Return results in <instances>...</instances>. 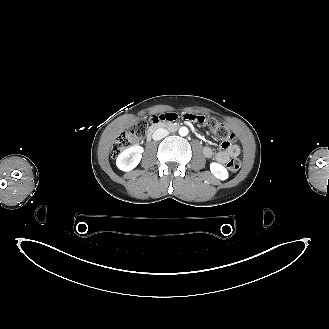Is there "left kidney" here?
Masks as SVG:
<instances>
[{
    "mask_svg": "<svg viewBox=\"0 0 329 329\" xmlns=\"http://www.w3.org/2000/svg\"><path fill=\"white\" fill-rule=\"evenodd\" d=\"M210 171L219 180H226L228 178L227 169L220 163L212 162L210 164Z\"/></svg>",
    "mask_w": 329,
    "mask_h": 329,
    "instance_id": "left-kidney-1",
    "label": "left kidney"
}]
</instances>
